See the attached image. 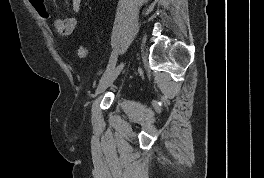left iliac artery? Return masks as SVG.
I'll use <instances>...</instances> for the list:
<instances>
[{
  "label": "left iliac artery",
  "mask_w": 264,
  "mask_h": 178,
  "mask_svg": "<svg viewBox=\"0 0 264 178\" xmlns=\"http://www.w3.org/2000/svg\"><path fill=\"white\" fill-rule=\"evenodd\" d=\"M117 57H118V53H117V51L115 50V51L112 53L111 57H110L109 64H108V66H107V68H106V70H105L103 76H105V75L108 74L111 70L114 69V67H115V65H116V62H117Z\"/></svg>",
  "instance_id": "44dca946"
}]
</instances>
